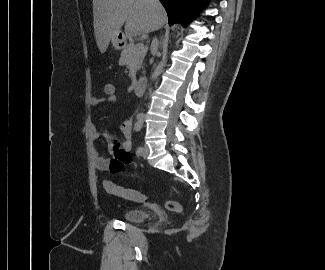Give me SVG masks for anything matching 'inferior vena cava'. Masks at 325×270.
<instances>
[{
  "label": "inferior vena cava",
  "mask_w": 325,
  "mask_h": 270,
  "mask_svg": "<svg viewBox=\"0 0 325 270\" xmlns=\"http://www.w3.org/2000/svg\"><path fill=\"white\" fill-rule=\"evenodd\" d=\"M151 2H153V3H159L158 0H151ZM157 45H158L157 39H153V41H152V47H156Z\"/></svg>",
  "instance_id": "obj_1"
}]
</instances>
